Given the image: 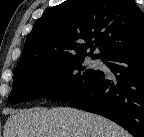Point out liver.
Wrapping results in <instances>:
<instances>
[{"label": "liver", "mask_w": 144, "mask_h": 137, "mask_svg": "<svg viewBox=\"0 0 144 137\" xmlns=\"http://www.w3.org/2000/svg\"><path fill=\"white\" fill-rule=\"evenodd\" d=\"M4 137H131L114 122L68 107L12 111Z\"/></svg>", "instance_id": "liver-1"}]
</instances>
